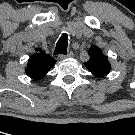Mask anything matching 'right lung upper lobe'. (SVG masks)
<instances>
[{
    "mask_svg": "<svg viewBox=\"0 0 135 135\" xmlns=\"http://www.w3.org/2000/svg\"><path fill=\"white\" fill-rule=\"evenodd\" d=\"M40 49H36L39 51ZM56 63V60L44 51L34 53L28 60L27 67L25 68L26 74L33 80L38 81L42 79L51 67Z\"/></svg>",
    "mask_w": 135,
    "mask_h": 135,
    "instance_id": "right-lung-upper-lobe-1",
    "label": "right lung upper lobe"
}]
</instances>
